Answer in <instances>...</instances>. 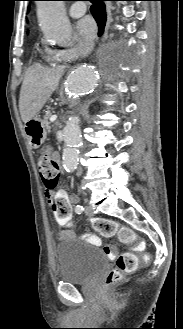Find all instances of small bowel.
I'll list each match as a JSON object with an SVG mask.
<instances>
[{"label": "small bowel", "mask_w": 183, "mask_h": 329, "mask_svg": "<svg viewBox=\"0 0 183 329\" xmlns=\"http://www.w3.org/2000/svg\"><path fill=\"white\" fill-rule=\"evenodd\" d=\"M57 194L46 190L45 195L51 205L52 218L55 219L56 227H73L74 221L72 215V203L77 201V196L71 195L70 192H61L59 188ZM68 202V203H67ZM64 233L58 231L56 239L61 240ZM96 244H100V239L92 237Z\"/></svg>", "instance_id": "1"}]
</instances>
